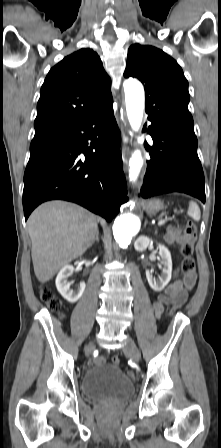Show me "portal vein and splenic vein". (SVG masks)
<instances>
[{"label":"portal vein and splenic vein","instance_id":"1","mask_svg":"<svg viewBox=\"0 0 221 448\" xmlns=\"http://www.w3.org/2000/svg\"><path fill=\"white\" fill-rule=\"evenodd\" d=\"M165 222H166L165 219L160 220V221L158 222V226H162V225H164Z\"/></svg>","mask_w":221,"mask_h":448}]
</instances>
